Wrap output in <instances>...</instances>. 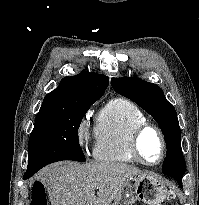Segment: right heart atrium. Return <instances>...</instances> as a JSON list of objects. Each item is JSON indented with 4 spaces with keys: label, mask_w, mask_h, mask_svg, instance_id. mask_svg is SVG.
Masks as SVG:
<instances>
[{
    "label": "right heart atrium",
    "mask_w": 199,
    "mask_h": 205,
    "mask_svg": "<svg viewBox=\"0 0 199 205\" xmlns=\"http://www.w3.org/2000/svg\"><path fill=\"white\" fill-rule=\"evenodd\" d=\"M90 127L87 118H83L78 126L77 139L81 146H84L89 139Z\"/></svg>",
    "instance_id": "right-heart-atrium-1"
}]
</instances>
